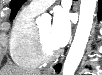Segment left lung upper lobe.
I'll use <instances>...</instances> for the list:
<instances>
[{"mask_svg":"<svg viewBox=\"0 0 102 75\" xmlns=\"http://www.w3.org/2000/svg\"><path fill=\"white\" fill-rule=\"evenodd\" d=\"M26 0H11V15H10V20L14 19V17L17 14V11L21 7V5L25 2Z\"/></svg>","mask_w":102,"mask_h":75,"instance_id":"left-lung-upper-lobe-1","label":"left lung upper lobe"}]
</instances>
